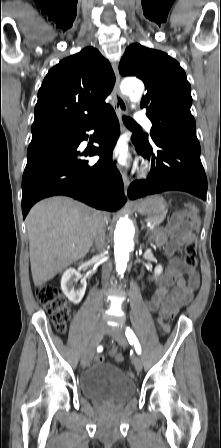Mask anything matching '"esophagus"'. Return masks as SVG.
Masks as SVG:
<instances>
[{
	"instance_id": "34e87169",
	"label": "esophagus",
	"mask_w": 221,
	"mask_h": 448,
	"mask_svg": "<svg viewBox=\"0 0 221 448\" xmlns=\"http://www.w3.org/2000/svg\"><path fill=\"white\" fill-rule=\"evenodd\" d=\"M113 70L115 73L116 81L113 88V96H114V110L116 112V115L119 119L121 128L123 129V123H122V114L127 111V105L125 102V99L120 91V75L118 71V66L115 62L112 63ZM122 179L124 182L125 189L127 190L130 184L129 178L127 176L126 171H122ZM127 203H130L129 201Z\"/></svg>"
}]
</instances>
